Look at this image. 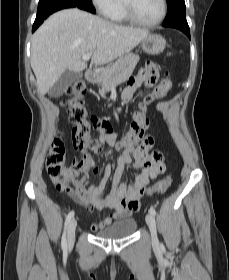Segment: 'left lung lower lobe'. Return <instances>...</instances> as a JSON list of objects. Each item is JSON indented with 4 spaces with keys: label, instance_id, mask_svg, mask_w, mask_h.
Here are the masks:
<instances>
[{
    "label": "left lung lower lobe",
    "instance_id": "1",
    "mask_svg": "<svg viewBox=\"0 0 229 280\" xmlns=\"http://www.w3.org/2000/svg\"><path fill=\"white\" fill-rule=\"evenodd\" d=\"M163 26L179 29L180 31L185 33L188 36V38H190V30H189V26L186 21V18L177 19V20L171 21L169 23H164Z\"/></svg>",
    "mask_w": 229,
    "mask_h": 280
}]
</instances>
